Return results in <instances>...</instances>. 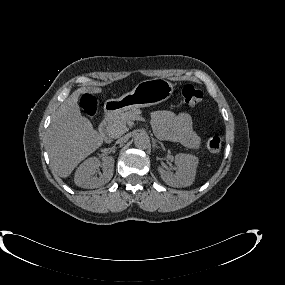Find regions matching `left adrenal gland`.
Wrapping results in <instances>:
<instances>
[{"mask_svg": "<svg viewBox=\"0 0 285 285\" xmlns=\"http://www.w3.org/2000/svg\"><path fill=\"white\" fill-rule=\"evenodd\" d=\"M158 143L163 147V144L160 141H158Z\"/></svg>", "mask_w": 285, "mask_h": 285, "instance_id": "a2214340", "label": "left adrenal gland"}]
</instances>
